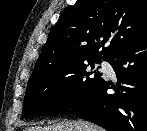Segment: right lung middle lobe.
<instances>
[{
	"instance_id": "obj_1",
	"label": "right lung middle lobe",
	"mask_w": 147,
	"mask_h": 131,
	"mask_svg": "<svg viewBox=\"0 0 147 131\" xmlns=\"http://www.w3.org/2000/svg\"><path fill=\"white\" fill-rule=\"evenodd\" d=\"M94 63H101V60L79 61L30 77L22 115L58 112L77 104L102 79L97 70H89L88 66L94 68Z\"/></svg>"
}]
</instances>
